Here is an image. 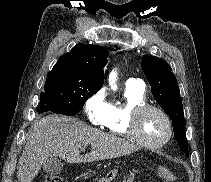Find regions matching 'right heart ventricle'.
Segmentation results:
<instances>
[{
	"label": "right heart ventricle",
	"instance_id": "1",
	"mask_svg": "<svg viewBox=\"0 0 211 182\" xmlns=\"http://www.w3.org/2000/svg\"><path fill=\"white\" fill-rule=\"evenodd\" d=\"M125 103L110 104L107 118L102 126L110 133L124 137L132 138L129 133V115L131 109L138 104L145 103V94L142 90L125 88Z\"/></svg>",
	"mask_w": 211,
	"mask_h": 182
}]
</instances>
